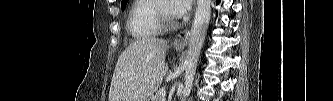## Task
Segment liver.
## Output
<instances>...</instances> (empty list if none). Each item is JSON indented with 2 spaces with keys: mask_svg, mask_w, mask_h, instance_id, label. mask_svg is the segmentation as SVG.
<instances>
[{
  "mask_svg": "<svg viewBox=\"0 0 333 101\" xmlns=\"http://www.w3.org/2000/svg\"><path fill=\"white\" fill-rule=\"evenodd\" d=\"M167 42L143 38L131 43L119 56L108 101H146L159 88L168 71Z\"/></svg>",
  "mask_w": 333,
  "mask_h": 101,
  "instance_id": "obj_1",
  "label": "liver"
}]
</instances>
